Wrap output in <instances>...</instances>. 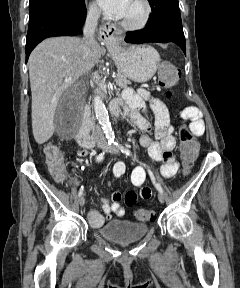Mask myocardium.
I'll return each instance as SVG.
<instances>
[{"label":"myocardium","instance_id":"1","mask_svg":"<svg viewBox=\"0 0 240 288\" xmlns=\"http://www.w3.org/2000/svg\"><path fill=\"white\" fill-rule=\"evenodd\" d=\"M141 3L144 5L145 12L142 19L136 23H130L125 20H121V26L130 31H138L144 29L150 22L152 16V5L150 0H140Z\"/></svg>","mask_w":240,"mask_h":288}]
</instances>
